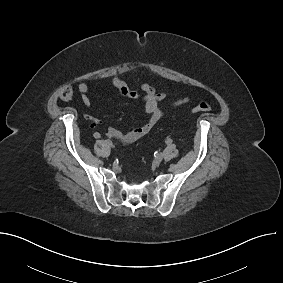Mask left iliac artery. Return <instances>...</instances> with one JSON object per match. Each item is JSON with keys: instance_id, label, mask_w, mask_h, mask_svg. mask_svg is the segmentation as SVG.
I'll use <instances>...</instances> for the list:
<instances>
[{"instance_id": "1", "label": "left iliac artery", "mask_w": 283, "mask_h": 283, "mask_svg": "<svg viewBox=\"0 0 283 283\" xmlns=\"http://www.w3.org/2000/svg\"><path fill=\"white\" fill-rule=\"evenodd\" d=\"M171 143H172V139L168 138V139L166 140V144H171Z\"/></svg>"}]
</instances>
